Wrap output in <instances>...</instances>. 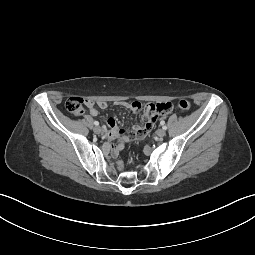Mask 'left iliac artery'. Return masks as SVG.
<instances>
[{"instance_id":"44dca946","label":"left iliac artery","mask_w":255,"mask_h":255,"mask_svg":"<svg viewBox=\"0 0 255 255\" xmlns=\"http://www.w3.org/2000/svg\"><path fill=\"white\" fill-rule=\"evenodd\" d=\"M162 128H163L164 130H166V129H167V126H163Z\"/></svg>"}]
</instances>
